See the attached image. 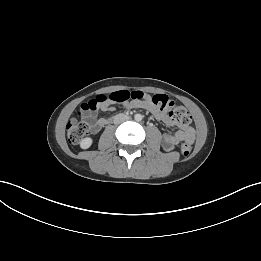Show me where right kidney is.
<instances>
[{
	"label": "right kidney",
	"mask_w": 261,
	"mask_h": 261,
	"mask_svg": "<svg viewBox=\"0 0 261 261\" xmlns=\"http://www.w3.org/2000/svg\"><path fill=\"white\" fill-rule=\"evenodd\" d=\"M92 142H93L92 138L86 137V138H84V139L81 141L80 147H81L82 149H88V148L92 145Z\"/></svg>",
	"instance_id": "obj_1"
}]
</instances>
